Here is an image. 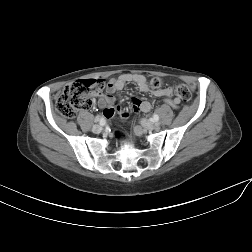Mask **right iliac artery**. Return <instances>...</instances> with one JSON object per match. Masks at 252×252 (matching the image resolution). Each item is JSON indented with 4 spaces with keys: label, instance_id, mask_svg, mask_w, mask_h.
<instances>
[{
    "label": "right iliac artery",
    "instance_id": "right-iliac-artery-1",
    "mask_svg": "<svg viewBox=\"0 0 252 252\" xmlns=\"http://www.w3.org/2000/svg\"><path fill=\"white\" fill-rule=\"evenodd\" d=\"M100 126L101 127H104L105 126V120L102 118L101 121H100Z\"/></svg>",
    "mask_w": 252,
    "mask_h": 252
}]
</instances>
